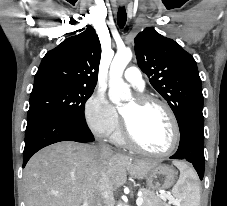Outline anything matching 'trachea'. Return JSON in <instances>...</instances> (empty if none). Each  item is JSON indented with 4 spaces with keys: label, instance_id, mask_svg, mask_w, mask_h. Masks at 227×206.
Instances as JSON below:
<instances>
[{
    "label": "trachea",
    "instance_id": "3493384b",
    "mask_svg": "<svg viewBox=\"0 0 227 206\" xmlns=\"http://www.w3.org/2000/svg\"><path fill=\"white\" fill-rule=\"evenodd\" d=\"M126 20H127V14H126V10L125 7H119L118 9V13H117V23L118 26L120 28H123L126 24Z\"/></svg>",
    "mask_w": 227,
    "mask_h": 206
}]
</instances>
